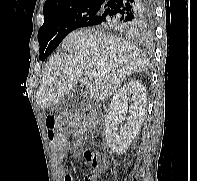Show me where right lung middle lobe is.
I'll use <instances>...</instances> for the list:
<instances>
[{"label":"right lung middle lobe","mask_w":197,"mask_h":181,"mask_svg":"<svg viewBox=\"0 0 197 181\" xmlns=\"http://www.w3.org/2000/svg\"><path fill=\"white\" fill-rule=\"evenodd\" d=\"M103 5H86L44 17L38 31L40 60L44 61L67 34L85 27V23L103 12Z\"/></svg>","instance_id":"1"}]
</instances>
